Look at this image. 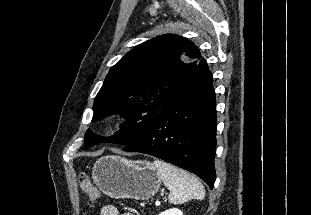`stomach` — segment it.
<instances>
[{"instance_id":"0dacf381","label":"stomach","mask_w":311,"mask_h":215,"mask_svg":"<svg viewBox=\"0 0 311 215\" xmlns=\"http://www.w3.org/2000/svg\"><path fill=\"white\" fill-rule=\"evenodd\" d=\"M93 179L100 190L111 198L147 200L159 190L161 178L152 163L104 156L93 168Z\"/></svg>"}]
</instances>
